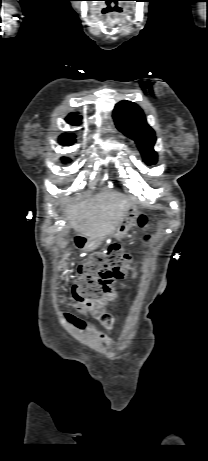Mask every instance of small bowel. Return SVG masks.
<instances>
[{
    "label": "small bowel",
    "mask_w": 208,
    "mask_h": 461,
    "mask_svg": "<svg viewBox=\"0 0 208 461\" xmlns=\"http://www.w3.org/2000/svg\"><path fill=\"white\" fill-rule=\"evenodd\" d=\"M116 296L117 289L114 285V281H112L105 286L101 299L89 311L90 315L93 316L105 329H112L114 326L115 319L106 311L105 306L108 302L113 301ZM97 335L101 341L105 344H109L110 340L106 334L97 332Z\"/></svg>",
    "instance_id": "obj_1"
}]
</instances>
